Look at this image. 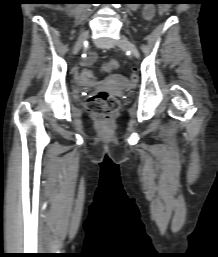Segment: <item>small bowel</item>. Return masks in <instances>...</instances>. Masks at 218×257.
Wrapping results in <instances>:
<instances>
[{
  "label": "small bowel",
  "instance_id": "1",
  "mask_svg": "<svg viewBox=\"0 0 218 257\" xmlns=\"http://www.w3.org/2000/svg\"><path fill=\"white\" fill-rule=\"evenodd\" d=\"M144 16L146 19L150 20L154 16V9L151 7H148L144 10ZM95 59V55L91 54L86 60V65H90ZM74 78L76 79V84H78V80L80 79V73H74Z\"/></svg>",
  "mask_w": 218,
  "mask_h": 257
}]
</instances>
